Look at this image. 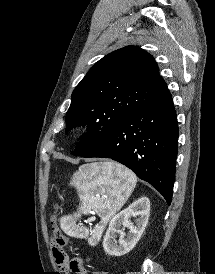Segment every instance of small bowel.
I'll return each mask as SVG.
<instances>
[{"label": "small bowel", "instance_id": "obj_1", "mask_svg": "<svg viewBox=\"0 0 215 274\" xmlns=\"http://www.w3.org/2000/svg\"><path fill=\"white\" fill-rule=\"evenodd\" d=\"M53 256L58 267L64 271L73 274H87L86 263L91 261L90 258L75 257L70 259L64 251L63 246H59L53 242ZM93 274H102L101 272H93Z\"/></svg>", "mask_w": 215, "mask_h": 274}]
</instances>
